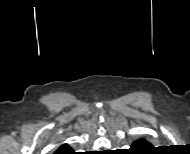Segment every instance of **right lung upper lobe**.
<instances>
[{"instance_id": "cb5924a9", "label": "right lung upper lobe", "mask_w": 190, "mask_h": 154, "mask_svg": "<svg viewBox=\"0 0 190 154\" xmlns=\"http://www.w3.org/2000/svg\"><path fill=\"white\" fill-rule=\"evenodd\" d=\"M68 149H71L67 144H63L59 149H58V151H62V150H68ZM57 151V152H58ZM56 152V153H57Z\"/></svg>"}]
</instances>
